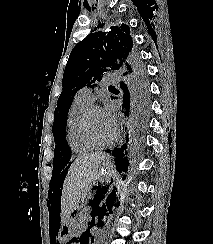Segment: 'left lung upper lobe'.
<instances>
[{
	"label": "left lung upper lobe",
	"mask_w": 213,
	"mask_h": 244,
	"mask_svg": "<svg viewBox=\"0 0 213 244\" xmlns=\"http://www.w3.org/2000/svg\"><path fill=\"white\" fill-rule=\"evenodd\" d=\"M103 27V26H102ZM96 29L71 51L62 81V93L57 101L52 127L55 142L63 141L66 147V122L75 93L84 86L100 81L109 70L124 71L127 85L124 103L149 110L148 81L144 66L133 48L129 26H110Z\"/></svg>",
	"instance_id": "5c2ea615"
}]
</instances>
